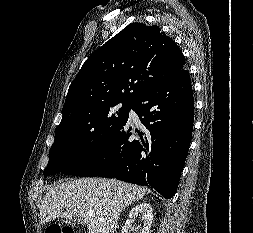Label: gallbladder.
<instances>
[{
	"instance_id": "obj_1",
	"label": "gallbladder",
	"mask_w": 253,
	"mask_h": 233,
	"mask_svg": "<svg viewBox=\"0 0 253 233\" xmlns=\"http://www.w3.org/2000/svg\"><path fill=\"white\" fill-rule=\"evenodd\" d=\"M70 221L73 222V223H77V224H83V220H73V219H71Z\"/></svg>"
}]
</instances>
